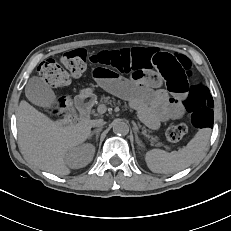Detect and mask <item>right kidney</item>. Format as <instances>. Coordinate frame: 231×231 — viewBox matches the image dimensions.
Wrapping results in <instances>:
<instances>
[{"instance_id": "obj_1", "label": "right kidney", "mask_w": 231, "mask_h": 231, "mask_svg": "<svg viewBox=\"0 0 231 231\" xmlns=\"http://www.w3.org/2000/svg\"><path fill=\"white\" fill-rule=\"evenodd\" d=\"M95 148L90 144H84L69 152L67 156L68 166L81 168L86 166L93 159Z\"/></svg>"}]
</instances>
